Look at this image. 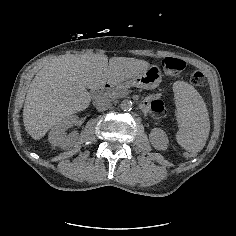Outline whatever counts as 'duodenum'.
I'll return each mask as SVG.
<instances>
[{
    "mask_svg": "<svg viewBox=\"0 0 236 236\" xmlns=\"http://www.w3.org/2000/svg\"><path fill=\"white\" fill-rule=\"evenodd\" d=\"M113 87V84L107 81H101L98 88L95 90L97 93H101L103 91L109 90Z\"/></svg>",
    "mask_w": 236,
    "mask_h": 236,
    "instance_id": "duodenum-1",
    "label": "duodenum"
}]
</instances>
